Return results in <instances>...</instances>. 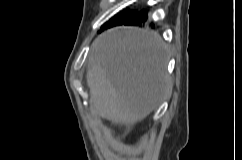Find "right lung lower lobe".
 Returning <instances> with one entry per match:
<instances>
[{
	"instance_id": "right-lung-lower-lobe-1",
	"label": "right lung lower lobe",
	"mask_w": 242,
	"mask_h": 160,
	"mask_svg": "<svg viewBox=\"0 0 242 160\" xmlns=\"http://www.w3.org/2000/svg\"><path fill=\"white\" fill-rule=\"evenodd\" d=\"M147 13L146 11H141L139 13H132L130 16H128L126 19L120 21L119 23L115 24L117 25H134V26H142L147 21ZM110 28V27H109ZM107 29V28H106Z\"/></svg>"
}]
</instances>
